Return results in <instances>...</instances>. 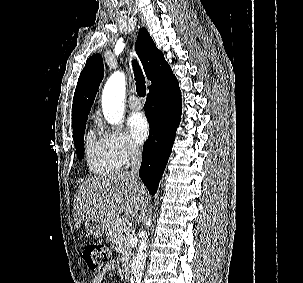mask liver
Wrapping results in <instances>:
<instances>
[{"mask_svg": "<svg viewBox=\"0 0 303 283\" xmlns=\"http://www.w3.org/2000/svg\"><path fill=\"white\" fill-rule=\"evenodd\" d=\"M145 194L141 181L125 172L90 178L79 186L75 196V226L79 228L86 220L114 221L120 213L134 217Z\"/></svg>", "mask_w": 303, "mask_h": 283, "instance_id": "6515ba94", "label": "liver"}]
</instances>
